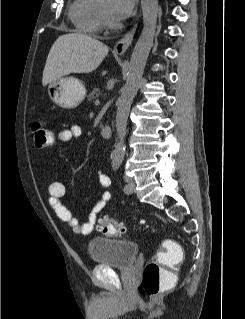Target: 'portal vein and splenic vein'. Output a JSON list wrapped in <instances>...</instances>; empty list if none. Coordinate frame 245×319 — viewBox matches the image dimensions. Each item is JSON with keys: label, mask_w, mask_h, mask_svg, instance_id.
Returning a JSON list of instances; mask_svg holds the SVG:
<instances>
[{"label": "portal vein and splenic vein", "mask_w": 245, "mask_h": 319, "mask_svg": "<svg viewBox=\"0 0 245 319\" xmlns=\"http://www.w3.org/2000/svg\"><path fill=\"white\" fill-rule=\"evenodd\" d=\"M95 105H100V101L98 99L95 101Z\"/></svg>", "instance_id": "obj_1"}]
</instances>
